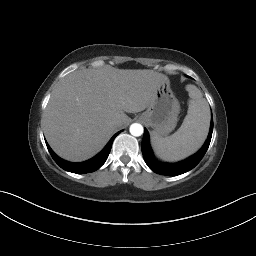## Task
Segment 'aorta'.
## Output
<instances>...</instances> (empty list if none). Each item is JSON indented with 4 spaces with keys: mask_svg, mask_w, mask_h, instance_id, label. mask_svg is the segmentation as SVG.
<instances>
[{
    "mask_svg": "<svg viewBox=\"0 0 256 256\" xmlns=\"http://www.w3.org/2000/svg\"><path fill=\"white\" fill-rule=\"evenodd\" d=\"M130 133L133 135V136H141L143 134V126L139 123H133L131 126H130Z\"/></svg>",
    "mask_w": 256,
    "mask_h": 256,
    "instance_id": "obj_1",
    "label": "aorta"
}]
</instances>
